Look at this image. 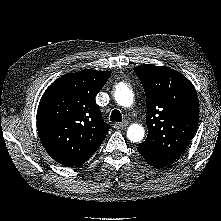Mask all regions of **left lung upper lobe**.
<instances>
[{
  "label": "left lung upper lobe",
  "mask_w": 221,
  "mask_h": 221,
  "mask_svg": "<svg viewBox=\"0 0 221 221\" xmlns=\"http://www.w3.org/2000/svg\"><path fill=\"white\" fill-rule=\"evenodd\" d=\"M147 100L148 135L138 144L143 157L171 165L191 142L199 120L194 85L179 72L149 64L134 68Z\"/></svg>",
  "instance_id": "obj_1"
}]
</instances>
